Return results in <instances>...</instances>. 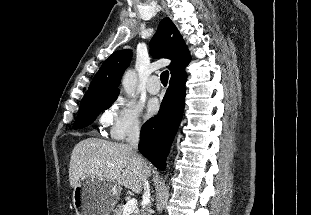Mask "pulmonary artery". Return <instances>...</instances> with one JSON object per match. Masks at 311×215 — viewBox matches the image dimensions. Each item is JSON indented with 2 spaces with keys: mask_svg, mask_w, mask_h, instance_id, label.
<instances>
[{
  "mask_svg": "<svg viewBox=\"0 0 311 215\" xmlns=\"http://www.w3.org/2000/svg\"><path fill=\"white\" fill-rule=\"evenodd\" d=\"M147 90L150 94H157L160 91V82L157 76H151L147 83Z\"/></svg>",
  "mask_w": 311,
  "mask_h": 215,
  "instance_id": "obj_1",
  "label": "pulmonary artery"
}]
</instances>
